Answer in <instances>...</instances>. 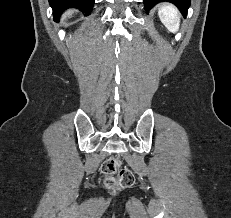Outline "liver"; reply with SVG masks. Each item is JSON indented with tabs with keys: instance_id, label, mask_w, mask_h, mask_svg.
I'll use <instances>...</instances> for the list:
<instances>
[{
	"instance_id": "obj_1",
	"label": "liver",
	"mask_w": 231,
	"mask_h": 218,
	"mask_svg": "<svg viewBox=\"0 0 231 218\" xmlns=\"http://www.w3.org/2000/svg\"><path fill=\"white\" fill-rule=\"evenodd\" d=\"M73 12H74V11H68V12L66 13V15L70 16V15L73 14Z\"/></svg>"
}]
</instances>
